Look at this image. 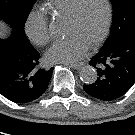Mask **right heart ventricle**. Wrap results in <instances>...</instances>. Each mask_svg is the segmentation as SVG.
I'll use <instances>...</instances> for the list:
<instances>
[{
    "mask_svg": "<svg viewBox=\"0 0 135 135\" xmlns=\"http://www.w3.org/2000/svg\"><path fill=\"white\" fill-rule=\"evenodd\" d=\"M78 0H48L45 8L56 17L67 18Z\"/></svg>",
    "mask_w": 135,
    "mask_h": 135,
    "instance_id": "1",
    "label": "right heart ventricle"
}]
</instances>
